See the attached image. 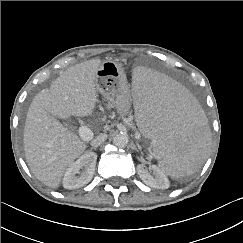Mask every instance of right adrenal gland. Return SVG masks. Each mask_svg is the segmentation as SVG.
<instances>
[{
  "label": "right adrenal gland",
  "mask_w": 243,
  "mask_h": 243,
  "mask_svg": "<svg viewBox=\"0 0 243 243\" xmlns=\"http://www.w3.org/2000/svg\"><path fill=\"white\" fill-rule=\"evenodd\" d=\"M97 148L96 147H92L91 150H96Z\"/></svg>",
  "instance_id": "1"
}]
</instances>
